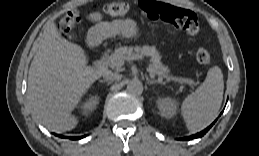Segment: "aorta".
I'll list each match as a JSON object with an SVG mask.
<instances>
[{"label":"aorta","instance_id":"aorta-1","mask_svg":"<svg viewBox=\"0 0 259 156\" xmlns=\"http://www.w3.org/2000/svg\"><path fill=\"white\" fill-rule=\"evenodd\" d=\"M127 91L133 95H140L143 92V85L139 80H131L127 84Z\"/></svg>","mask_w":259,"mask_h":156}]
</instances>
